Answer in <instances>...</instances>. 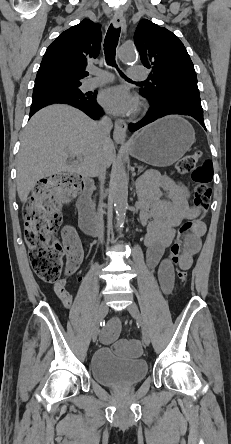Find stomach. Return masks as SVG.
Listing matches in <instances>:
<instances>
[{
  "mask_svg": "<svg viewBox=\"0 0 231 444\" xmlns=\"http://www.w3.org/2000/svg\"><path fill=\"white\" fill-rule=\"evenodd\" d=\"M195 142L191 124L178 115H169L143 128L129 142L130 153L156 167L178 161Z\"/></svg>",
  "mask_w": 231,
  "mask_h": 444,
  "instance_id": "obj_1",
  "label": "stomach"
}]
</instances>
